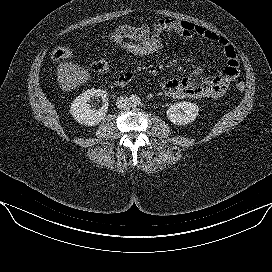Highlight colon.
<instances>
[{
	"instance_id": "5ec220e1",
	"label": "colon",
	"mask_w": 272,
	"mask_h": 272,
	"mask_svg": "<svg viewBox=\"0 0 272 272\" xmlns=\"http://www.w3.org/2000/svg\"><path fill=\"white\" fill-rule=\"evenodd\" d=\"M107 39L113 46L125 54L137 58L161 54L166 50L167 46L162 38L139 39L117 34L113 30L108 33ZM72 55V51L64 47L55 48L52 52V58L55 60L67 59L72 57ZM91 69L98 73H104L108 71L109 66L106 60L98 59L91 63ZM236 89L240 92L244 91L245 84L243 82H238L236 84Z\"/></svg>"
}]
</instances>
